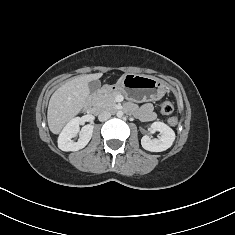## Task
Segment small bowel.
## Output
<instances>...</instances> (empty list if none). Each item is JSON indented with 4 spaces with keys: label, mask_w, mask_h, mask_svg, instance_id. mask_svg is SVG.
<instances>
[{
    "label": "small bowel",
    "mask_w": 235,
    "mask_h": 235,
    "mask_svg": "<svg viewBox=\"0 0 235 235\" xmlns=\"http://www.w3.org/2000/svg\"><path fill=\"white\" fill-rule=\"evenodd\" d=\"M139 117L142 121H152L155 118L152 105H143L139 110Z\"/></svg>",
    "instance_id": "small-bowel-1"
}]
</instances>
